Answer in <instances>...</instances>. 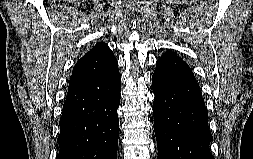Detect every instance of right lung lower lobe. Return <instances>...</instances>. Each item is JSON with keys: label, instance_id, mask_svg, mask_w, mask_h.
<instances>
[{"label": "right lung lower lobe", "instance_id": "1", "mask_svg": "<svg viewBox=\"0 0 253 159\" xmlns=\"http://www.w3.org/2000/svg\"><path fill=\"white\" fill-rule=\"evenodd\" d=\"M120 91L118 62L68 89L56 159H117Z\"/></svg>", "mask_w": 253, "mask_h": 159}]
</instances>
